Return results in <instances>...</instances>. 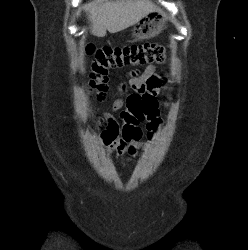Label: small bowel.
Here are the masks:
<instances>
[{"label":"small bowel","instance_id":"c3829d8e","mask_svg":"<svg viewBox=\"0 0 248 250\" xmlns=\"http://www.w3.org/2000/svg\"><path fill=\"white\" fill-rule=\"evenodd\" d=\"M153 77L157 80L153 83H149V79ZM158 80L160 79L156 76L155 69L153 67H147L139 76L132 78L129 85L141 92L148 90L152 93H156L160 87ZM124 103V99H117L114 102L113 109L120 110ZM144 120L147 121L149 134H152L160 122L158 111L156 110L153 114L145 117ZM100 122L105 124L101 136L103 143L110 151L127 157H132L136 154L141 147L140 140L142 138V131L138 127L140 120L137 119L128 107L122 112L121 124L110 114H104Z\"/></svg>","mask_w":248,"mask_h":250}]
</instances>
